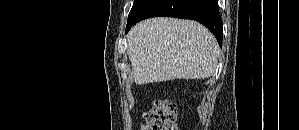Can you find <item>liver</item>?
<instances>
[{"label": "liver", "mask_w": 299, "mask_h": 130, "mask_svg": "<svg viewBox=\"0 0 299 130\" xmlns=\"http://www.w3.org/2000/svg\"><path fill=\"white\" fill-rule=\"evenodd\" d=\"M127 41L134 81L139 85L208 78L217 67V41L195 21L147 19L130 30Z\"/></svg>", "instance_id": "1"}]
</instances>
